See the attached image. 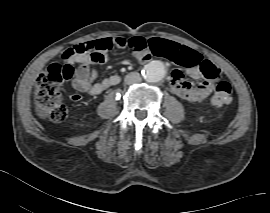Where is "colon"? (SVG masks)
Returning a JSON list of instances; mask_svg holds the SVG:
<instances>
[{
    "label": "colon",
    "mask_w": 270,
    "mask_h": 213,
    "mask_svg": "<svg viewBox=\"0 0 270 213\" xmlns=\"http://www.w3.org/2000/svg\"><path fill=\"white\" fill-rule=\"evenodd\" d=\"M117 47L127 48L136 55L144 51L147 42L142 37L118 38ZM83 50L68 49L64 55V62H55L42 70L35 82L34 102L39 115L43 119L53 122H61L67 118L68 109L64 104V92L62 85L73 76L74 68L71 61ZM205 80L215 83L211 103L214 107L228 106L232 102L231 85L227 81L218 80V70L210 61H203L200 66ZM71 100L74 96L69 97Z\"/></svg>",
    "instance_id": "obj_1"
}]
</instances>
